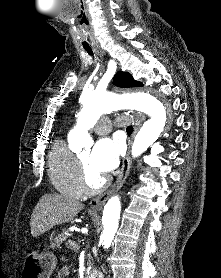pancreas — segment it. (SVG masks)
<instances>
[{
	"label": "pancreas",
	"mask_w": 221,
	"mask_h": 278,
	"mask_svg": "<svg viewBox=\"0 0 221 278\" xmlns=\"http://www.w3.org/2000/svg\"><path fill=\"white\" fill-rule=\"evenodd\" d=\"M67 239V233L61 234L58 237L54 238V242L51 244L52 248H60L61 244ZM67 248L77 252L79 250L78 245L70 244L69 242L66 243ZM92 257L89 255L87 260V266L91 265Z\"/></svg>",
	"instance_id": "pancreas-1"
}]
</instances>
